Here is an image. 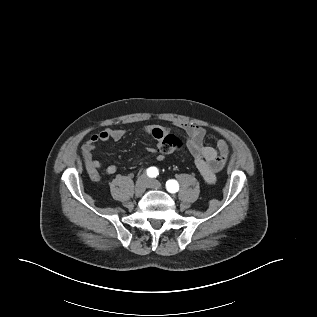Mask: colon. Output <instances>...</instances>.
I'll return each instance as SVG.
<instances>
[{"instance_id":"1","label":"colon","mask_w":317,"mask_h":317,"mask_svg":"<svg viewBox=\"0 0 317 317\" xmlns=\"http://www.w3.org/2000/svg\"><path fill=\"white\" fill-rule=\"evenodd\" d=\"M182 146L181 139L174 134H167L159 143L158 149L163 154H170Z\"/></svg>"}]
</instances>
